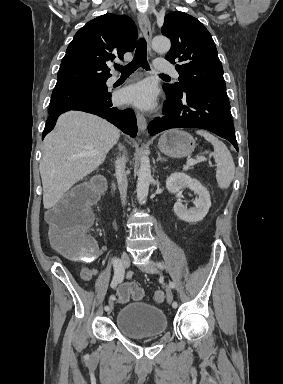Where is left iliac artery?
Masks as SVG:
<instances>
[{"label":"left iliac artery","instance_id":"44dca946","mask_svg":"<svg viewBox=\"0 0 283 384\" xmlns=\"http://www.w3.org/2000/svg\"><path fill=\"white\" fill-rule=\"evenodd\" d=\"M156 264H157L158 267H160V268L163 269V264H162L161 262H157ZM169 286H170L171 289H173V288H174V283H173V282H170V283H169ZM172 306H173V308H177V307H178V303H177L176 301H174V302L172 303Z\"/></svg>","mask_w":283,"mask_h":384}]
</instances>
